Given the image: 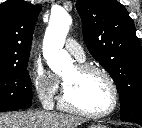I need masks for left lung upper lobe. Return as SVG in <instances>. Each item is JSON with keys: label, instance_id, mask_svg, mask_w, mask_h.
I'll use <instances>...</instances> for the list:
<instances>
[{"label": "left lung upper lobe", "instance_id": "5c2ea615", "mask_svg": "<svg viewBox=\"0 0 142 128\" xmlns=\"http://www.w3.org/2000/svg\"><path fill=\"white\" fill-rule=\"evenodd\" d=\"M83 38L116 83L122 121H142V53L135 25L117 0H77Z\"/></svg>", "mask_w": 142, "mask_h": 128}]
</instances>
